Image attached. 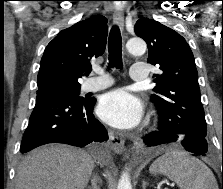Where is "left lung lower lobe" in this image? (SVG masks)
<instances>
[{
	"mask_svg": "<svg viewBox=\"0 0 223 189\" xmlns=\"http://www.w3.org/2000/svg\"><path fill=\"white\" fill-rule=\"evenodd\" d=\"M176 141L181 142L186 150L197 155H205L208 150V144L205 138H200L191 134L181 136L164 132L159 128V131L152 132L144 137V143L149 147Z\"/></svg>",
	"mask_w": 223,
	"mask_h": 189,
	"instance_id": "obj_1",
	"label": "left lung lower lobe"
}]
</instances>
